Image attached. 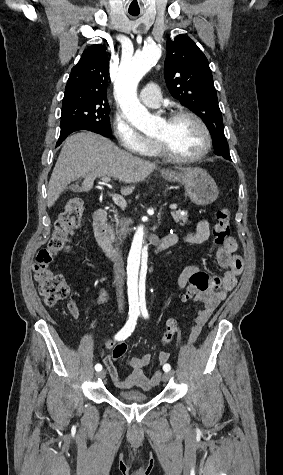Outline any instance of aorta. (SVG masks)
<instances>
[{
  "mask_svg": "<svg viewBox=\"0 0 283 475\" xmlns=\"http://www.w3.org/2000/svg\"><path fill=\"white\" fill-rule=\"evenodd\" d=\"M161 48L150 44L132 58L122 60L115 80V93L126 118L145 134H155L160 127V119L151 115L137 97V86L142 77L161 57ZM156 198L148 200L136 226L127 259L128 302L139 309L146 304V275L148 271V236L150 225L156 219Z\"/></svg>",
  "mask_w": 283,
  "mask_h": 475,
  "instance_id": "762f6f07",
  "label": "aorta"
}]
</instances>
